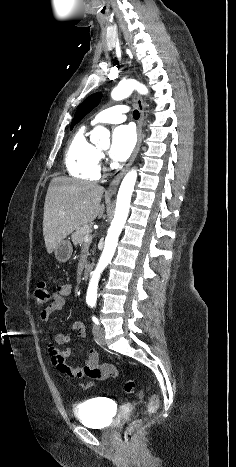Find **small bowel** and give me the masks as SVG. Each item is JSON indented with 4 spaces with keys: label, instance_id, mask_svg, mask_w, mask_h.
Listing matches in <instances>:
<instances>
[{
    "label": "small bowel",
    "instance_id": "small-bowel-1",
    "mask_svg": "<svg viewBox=\"0 0 236 467\" xmlns=\"http://www.w3.org/2000/svg\"><path fill=\"white\" fill-rule=\"evenodd\" d=\"M71 292V283L67 282L59 285L52 295L50 304L41 310L40 319L43 322H47L54 312L61 310L66 303V297L69 296ZM71 332H76L77 337L80 339L86 337L84 324L80 321H76L70 325L68 331L56 334L48 343L52 364L61 377L67 379L89 377V381L80 383V388L83 390L93 389L97 387L99 381L109 377H118V370L114 365L108 363L99 364L98 354L94 349L86 351V357L81 365L75 367L68 365L66 363V358L71 353L70 348L59 349L58 347L71 341ZM104 372L105 374H103Z\"/></svg>",
    "mask_w": 236,
    "mask_h": 467
}]
</instances>
